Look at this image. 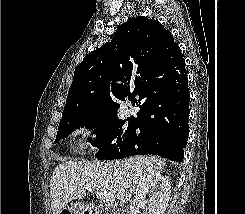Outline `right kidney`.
<instances>
[{"label":"right kidney","instance_id":"obj_1","mask_svg":"<svg viewBox=\"0 0 245 214\" xmlns=\"http://www.w3.org/2000/svg\"><path fill=\"white\" fill-rule=\"evenodd\" d=\"M171 193L170 182L160 171L147 173L137 185L135 198L130 205L129 214H137L139 206L144 202L146 195L150 194L149 214H164Z\"/></svg>","mask_w":245,"mask_h":214}]
</instances>
